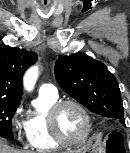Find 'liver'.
<instances>
[{
	"label": "liver",
	"instance_id": "1",
	"mask_svg": "<svg viewBox=\"0 0 130 153\" xmlns=\"http://www.w3.org/2000/svg\"><path fill=\"white\" fill-rule=\"evenodd\" d=\"M0 153H29L23 150H17L9 147L4 141L0 138Z\"/></svg>",
	"mask_w": 130,
	"mask_h": 153
}]
</instances>
